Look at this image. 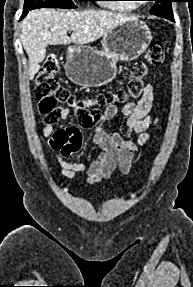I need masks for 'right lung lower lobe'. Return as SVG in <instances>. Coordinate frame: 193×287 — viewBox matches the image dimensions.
Returning <instances> with one entry per match:
<instances>
[{"mask_svg": "<svg viewBox=\"0 0 193 287\" xmlns=\"http://www.w3.org/2000/svg\"><path fill=\"white\" fill-rule=\"evenodd\" d=\"M28 13V11L27 10H23V14H22V16H21V18H20V20L21 19H23L25 16H26V14Z\"/></svg>", "mask_w": 193, "mask_h": 287, "instance_id": "1", "label": "right lung lower lobe"}]
</instances>
